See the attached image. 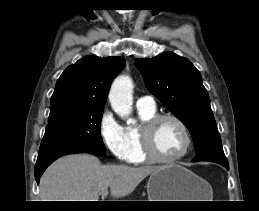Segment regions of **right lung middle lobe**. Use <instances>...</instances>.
<instances>
[{"label": "right lung middle lobe", "mask_w": 259, "mask_h": 211, "mask_svg": "<svg viewBox=\"0 0 259 211\" xmlns=\"http://www.w3.org/2000/svg\"><path fill=\"white\" fill-rule=\"evenodd\" d=\"M103 111L78 108L49 118L38 155L65 147L105 151L100 134Z\"/></svg>", "instance_id": "right-lung-middle-lobe-1"}]
</instances>
